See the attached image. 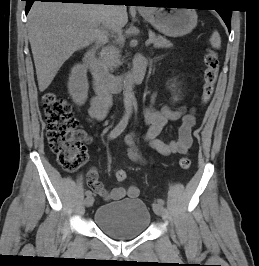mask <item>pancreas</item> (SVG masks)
Returning <instances> with one entry per match:
<instances>
[{
    "label": "pancreas",
    "instance_id": "pancreas-1",
    "mask_svg": "<svg viewBox=\"0 0 259 266\" xmlns=\"http://www.w3.org/2000/svg\"><path fill=\"white\" fill-rule=\"evenodd\" d=\"M153 39V45L155 48L173 47V44L169 40L160 35L154 36ZM116 42L119 43V40H117ZM100 61L104 66H106L110 70H113V68L118 67L120 65L119 49L115 46L105 47L100 53Z\"/></svg>",
    "mask_w": 259,
    "mask_h": 266
}]
</instances>
